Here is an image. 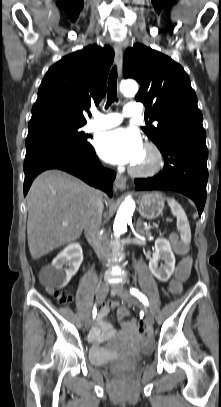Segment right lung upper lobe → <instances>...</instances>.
<instances>
[{
    "instance_id": "1",
    "label": "right lung upper lobe",
    "mask_w": 221,
    "mask_h": 407,
    "mask_svg": "<svg viewBox=\"0 0 221 407\" xmlns=\"http://www.w3.org/2000/svg\"><path fill=\"white\" fill-rule=\"evenodd\" d=\"M113 59L109 46L89 45L51 66L39 87L28 128L54 123L85 125L84 112L106 94Z\"/></svg>"
}]
</instances>
